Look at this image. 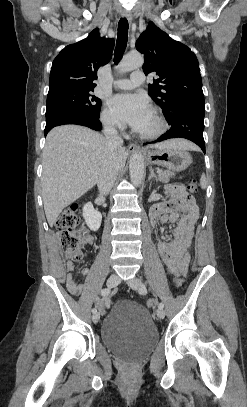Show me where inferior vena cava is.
<instances>
[{
    "label": "inferior vena cava",
    "instance_id": "obj_1",
    "mask_svg": "<svg viewBox=\"0 0 247 407\" xmlns=\"http://www.w3.org/2000/svg\"><path fill=\"white\" fill-rule=\"evenodd\" d=\"M105 141L110 149L122 147L123 139L118 135V132L113 123H106L104 126ZM118 174V168L114 163H106L98 179V189L102 195H107Z\"/></svg>",
    "mask_w": 247,
    "mask_h": 407
}]
</instances>
